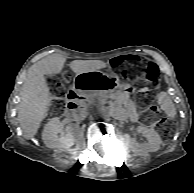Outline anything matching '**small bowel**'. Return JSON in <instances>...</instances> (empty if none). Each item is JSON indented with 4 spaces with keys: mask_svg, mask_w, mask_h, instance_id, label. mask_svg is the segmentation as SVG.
Wrapping results in <instances>:
<instances>
[{
    "mask_svg": "<svg viewBox=\"0 0 194 193\" xmlns=\"http://www.w3.org/2000/svg\"><path fill=\"white\" fill-rule=\"evenodd\" d=\"M124 105L128 110L129 116L131 119L135 120L137 118L136 112L133 109V105L129 100H124Z\"/></svg>",
    "mask_w": 194,
    "mask_h": 193,
    "instance_id": "c3829d8e",
    "label": "small bowel"
}]
</instances>
